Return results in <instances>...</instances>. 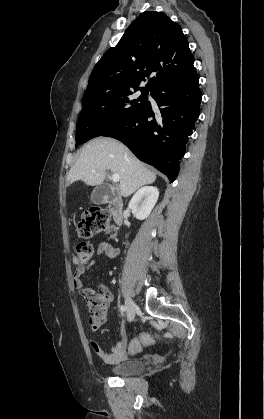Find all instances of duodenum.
<instances>
[{"instance_id":"duodenum-1","label":"duodenum","mask_w":264,"mask_h":419,"mask_svg":"<svg viewBox=\"0 0 264 419\" xmlns=\"http://www.w3.org/2000/svg\"><path fill=\"white\" fill-rule=\"evenodd\" d=\"M108 204L115 224L120 226L124 220V207L122 200L118 197H110Z\"/></svg>"}]
</instances>
